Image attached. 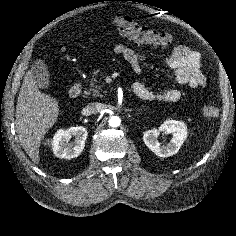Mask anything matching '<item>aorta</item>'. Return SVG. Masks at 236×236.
<instances>
[{
	"instance_id": "762f6f07",
	"label": "aorta",
	"mask_w": 236,
	"mask_h": 236,
	"mask_svg": "<svg viewBox=\"0 0 236 236\" xmlns=\"http://www.w3.org/2000/svg\"><path fill=\"white\" fill-rule=\"evenodd\" d=\"M121 123V119L118 116H112L109 119V125L111 127H118Z\"/></svg>"
}]
</instances>
